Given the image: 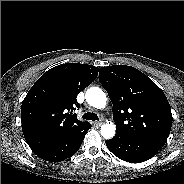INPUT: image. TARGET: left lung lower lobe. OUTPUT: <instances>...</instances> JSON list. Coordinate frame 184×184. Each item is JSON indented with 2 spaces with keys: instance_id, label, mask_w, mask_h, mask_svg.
I'll list each match as a JSON object with an SVG mask.
<instances>
[{
  "instance_id": "0a47b994",
  "label": "left lung lower lobe",
  "mask_w": 184,
  "mask_h": 184,
  "mask_svg": "<svg viewBox=\"0 0 184 184\" xmlns=\"http://www.w3.org/2000/svg\"><path fill=\"white\" fill-rule=\"evenodd\" d=\"M108 149L118 158L126 162L140 163L152 158L158 152L148 144L137 140L122 131L106 140Z\"/></svg>"
}]
</instances>
